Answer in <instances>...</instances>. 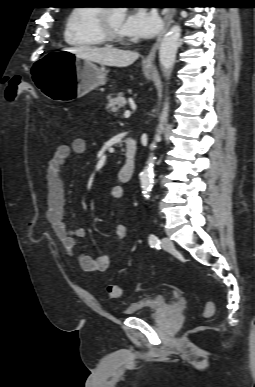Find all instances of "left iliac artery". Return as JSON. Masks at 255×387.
<instances>
[{"mask_svg":"<svg viewBox=\"0 0 255 387\" xmlns=\"http://www.w3.org/2000/svg\"><path fill=\"white\" fill-rule=\"evenodd\" d=\"M160 240L154 234L149 235V245L152 248H159Z\"/></svg>","mask_w":255,"mask_h":387,"instance_id":"44dca946","label":"left iliac artery"}]
</instances>
